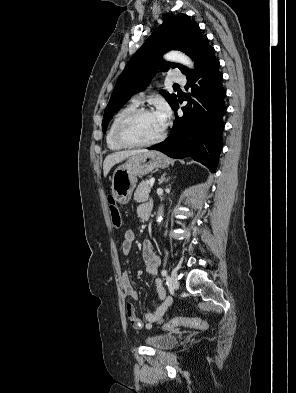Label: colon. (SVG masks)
Instances as JSON below:
<instances>
[{
    "mask_svg": "<svg viewBox=\"0 0 296 393\" xmlns=\"http://www.w3.org/2000/svg\"><path fill=\"white\" fill-rule=\"evenodd\" d=\"M108 202L112 224L119 228L122 225V218L118 206L111 195L108 197ZM180 326L204 329L207 328L208 324L205 320L198 318H174L165 325V328L173 330Z\"/></svg>",
    "mask_w": 296,
    "mask_h": 393,
    "instance_id": "colon-1",
    "label": "colon"
}]
</instances>
